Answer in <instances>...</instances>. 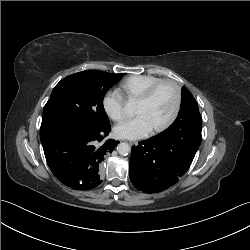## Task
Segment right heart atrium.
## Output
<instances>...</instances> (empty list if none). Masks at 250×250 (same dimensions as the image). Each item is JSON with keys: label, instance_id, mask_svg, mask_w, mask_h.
I'll use <instances>...</instances> for the list:
<instances>
[{"label": "right heart atrium", "instance_id": "right-heart-atrium-1", "mask_svg": "<svg viewBox=\"0 0 250 250\" xmlns=\"http://www.w3.org/2000/svg\"><path fill=\"white\" fill-rule=\"evenodd\" d=\"M102 107L105 114L113 121H120L125 116V100L118 90L111 89L104 94Z\"/></svg>", "mask_w": 250, "mask_h": 250}]
</instances>
